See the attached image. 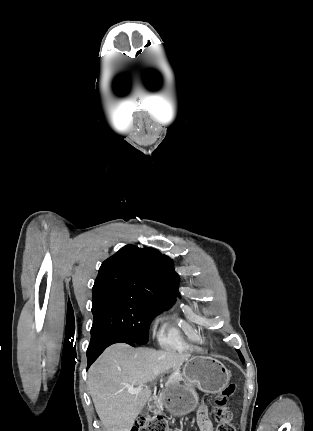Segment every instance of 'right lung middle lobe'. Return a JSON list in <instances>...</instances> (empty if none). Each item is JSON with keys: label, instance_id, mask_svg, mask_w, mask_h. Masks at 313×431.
<instances>
[{"label": "right lung middle lobe", "instance_id": "obj_1", "mask_svg": "<svg viewBox=\"0 0 313 431\" xmlns=\"http://www.w3.org/2000/svg\"><path fill=\"white\" fill-rule=\"evenodd\" d=\"M94 316L91 340L103 335L124 337L136 344L148 342L149 325L169 306L120 292H107L92 299Z\"/></svg>", "mask_w": 313, "mask_h": 431}]
</instances>
